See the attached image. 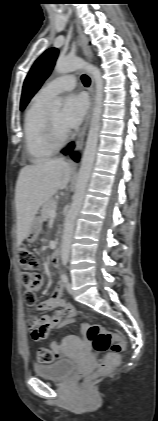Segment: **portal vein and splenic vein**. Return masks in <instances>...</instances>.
Returning a JSON list of instances; mask_svg holds the SVG:
<instances>
[{
  "label": "portal vein and splenic vein",
  "mask_w": 158,
  "mask_h": 421,
  "mask_svg": "<svg viewBox=\"0 0 158 421\" xmlns=\"http://www.w3.org/2000/svg\"><path fill=\"white\" fill-rule=\"evenodd\" d=\"M50 217L51 218H55L56 217V210H51L50 211Z\"/></svg>",
  "instance_id": "18ae733b"
}]
</instances>
